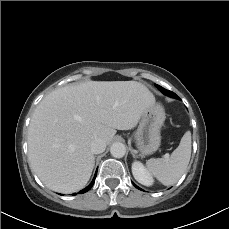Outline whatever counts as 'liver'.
Segmentation results:
<instances>
[{
  "instance_id": "6515ba94",
  "label": "liver",
  "mask_w": 229,
  "mask_h": 229,
  "mask_svg": "<svg viewBox=\"0 0 229 229\" xmlns=\"http://www.w3.org/2000/svg\"><path fill=\"white\" fill-rule=\"evenodd\" d=\"M153 104L154 95L137 81H87L52 91L29 125L31 169L51 190L82 189L95 165L92 141L110 143L116 129L134 128Z\"/></svg>"
}]
</instances>
